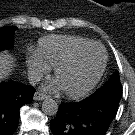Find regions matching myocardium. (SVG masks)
I'll return each mask as SVG.
<instances>
[{
	"label": "myocardium",
	"mask_w": 135,
	"mask_h": 135,
	"mask_svg": "<svg viewBox=\"0 0 135 135\" xmlns=\"http://www.w3.org/2000/svg\"><path fill=\"white\" fill-rule=\"evenodd\" d=\"M92 46H98L102 49L103 54H104V59H103V63L101 68L99 69V71L97 72V74L94 76V78L92 80L89 81L88 84H86L83 88H81L78 91H70V90H65V93L67 96L71 97V98H79L82 97L84 95H86L87 93H89L97 84L98 82L101 80L105 69H106V65H107V60H108V54L107 51L105 49V47L99 43V42H92L89 44H86L80 48H78L77 50H75L74 52H72L69 56H67L65 59H63L62 61H60L55 67H54V75L57 78L58 74L60 73V71L68 66H70L71 64H73L77 58L83 53L85 52L87 49H89Z\"/></svg>",
	"instance_id": "myocardium-1"
}]
</instances>
